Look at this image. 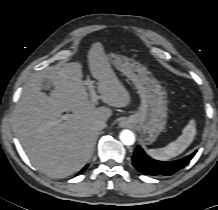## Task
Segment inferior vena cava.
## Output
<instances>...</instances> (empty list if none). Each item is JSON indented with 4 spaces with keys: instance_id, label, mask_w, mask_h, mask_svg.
<instances>
[{
    "instance_id": "inferior-vena-cava-1",
    "label": "inferior vena cava",
    "mask_w": 218,
    "mask_h": 210,
    "mask_svg": "<svg viewBox=\"0 0 218 210\" xmlns=\"http://www.w3.org/2000/svg\"><path fill=\"white\" fill-rule=\"evenodd\" d=\"M95 128L97 130H102V129L106 128V121H104V120L97 121L95 123Z\"/></svg>"
}]
</instances>
